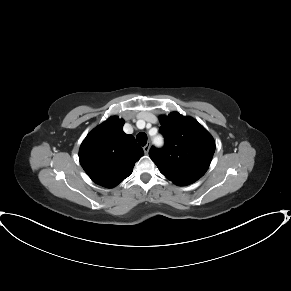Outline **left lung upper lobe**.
<instances>
[{"label":"left lung upper lobe","mask_w":291,"mask_h":291,"mask_svg":"<svg viewBox=\"0 0 291 291\" xmlns=\"http://www.w3.org/2000/svg\"><path fill=\"white\" fill-rule=\"evenodd\" d=\"M160 132L165 138L162 149L151 148L150 158L159 171L179 186L191 184L207 171L215 142L195 119L177 112L160 117Z\"/></svg>","instance_id":"1"}]
</instances>
